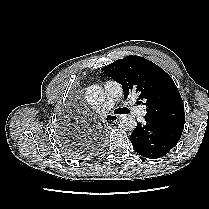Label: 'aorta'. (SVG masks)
Instances as JSON below:
<instances>
[{"label":"aorta","instance_id":"obj_1","mask_svg":"<svg viewBox=\"0 0 209 209\" xmlns=\"http://www.w3.org/2000/svg\"><path fill=\"white\" fill-rule=\"evenodd\" d=\"M85 96L88 103L98 105L104 101L105 92L99 85H91L87 87ZM119 126L125 131H133L136 127V120L131 115H122Z\"/></svg>","mask_w":209,"mask_h":209}]
</instances>
